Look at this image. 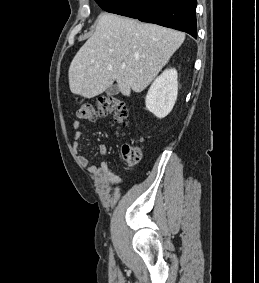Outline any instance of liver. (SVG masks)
<instances>
[{"label":"liver","instance_id":"1","mask_svg":"<svg viewBox=\"0 0 259 283\" xmlns=\"http://www.w3.org/2000/svg\"><path fill=\"white\" fill-rule=\"evenodd\" d=\"M185 34L116 14L98 16L94 34L73 58L69 71L72 93L93 98L114 81L124 96L143 91L181 46ZM126 64L122 68V64Z\"/></svg>","mask_w":259,"mask_h":283}]
</instances>
